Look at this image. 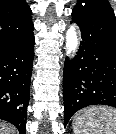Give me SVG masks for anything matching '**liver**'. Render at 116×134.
I'll list each match as a JSON object with an SVG mask.
<instances>
[{
  "label": "liver",
  "mask_w": 116,
  "mask_h": 134,
  "mask_svg": "<svg viewBox=\"0 0 116 134\" xmlns=\"http://www.w3.org/2000/svg\"><path fill=\"white\" fill-rule=\"evenodd\" d=\"M15 130L7 123L0 122V134H14Z\"/></svg>",
  "instance_id": "1"
}]
</instances>
